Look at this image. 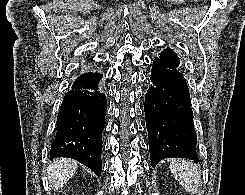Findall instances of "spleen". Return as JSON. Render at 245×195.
Here are the masks:
<instances>
[{
    "label": "spleen",
    "mask_w": 245,
    "mask_h": 195,
    "mask_svg": "<svg viewBox=\"0 0 245 195\" xmlns=\"http://www.w3.org/2000/svg\"><path fill=\"white\" fill-rule=\"evenodd\" d=\"M170 170L186 192L190 194L198 193L200 172L196 164L188 160L173 159Z\"/></svg>",
    "instance_id": "obj_1"
}]
</instances>
